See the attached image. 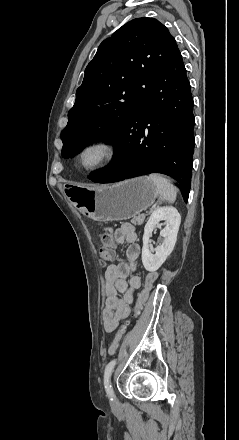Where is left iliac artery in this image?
Returning <instances> with one entry per match:
<instances>
[{
    "label": "left iliac artery",
    "instance_id": "44dca946",
    "mask_svg": "<svg viewBox=\"0 0 239 440\" xmlns=\"http://www.w3.org/2000/svg\"><path fill=\"white\" fill-rule=\"evenodd\" d=\"M116 360H111L105 367V371H104V386H105V390L107 392V394L112 397L113 396V389L111 386V382H110V377L111 374L113 372V369L116 365Z\"/></svg>",
    "mask_w": 239,
    "mask_h": 440
}]
</instances>
